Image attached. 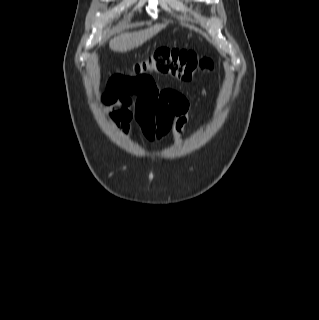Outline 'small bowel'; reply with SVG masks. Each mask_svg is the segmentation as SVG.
<instances>
[{"label":"small bowel","mask_w":319,"mask_h":320,"mask_svg":"<svg viewBox=\"0 0 319 320\" xmlns=\"http://www.w3.org/2000/svg\"><path fill=\"white\" fill-rule=\"evenodd\" d=\"M137 94L134 103L132 96ZM102 103L107 108L106 120L126 129L132 119L131 108L136 113H150L160 123L173 130V142L182 143V133L188 117L189 104L186 97L171 88L159 89L151 77L142 78L126 88L111 86L103 95Z\"/></svg>","instance_id":"small-bowel-1"}]
</instances>
